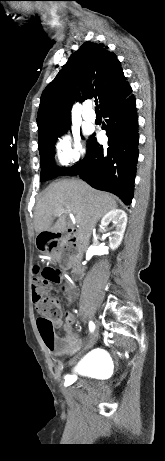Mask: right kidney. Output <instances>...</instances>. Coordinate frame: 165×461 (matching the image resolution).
Listing matches in <instances>:
<instances>
[{"label": "right kidney", "mask_w": 165, "mask_h": 461, "mask_svg": "<svg viewBox=\"0 0 165 461\" xmlns=\"http://www.w3.org/2000/svg\"><path fill=\"white\" fill-rule=\"evenodd\" d=\"M110 222L114 224L115 231L112 232L113 237L110 238L109 247L112 250H115L121 244L123 239L127 224V214L121 209H113L102 218L101 227H107ZM87 253L91 255H104L108 253V247L103 245L90 246Z\"/></svg>", "instance_id": "ca27d5eb"}]
</instances>
